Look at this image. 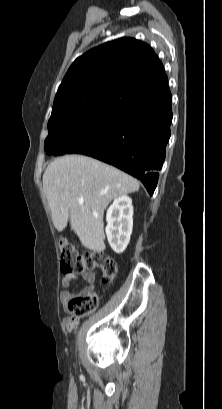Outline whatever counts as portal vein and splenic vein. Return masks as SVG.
Here are the masks:
<instances>
[{
    "mask_svg": "<svg viewBox=\"0 0 222 409\" xmlns=\"http://www.w3.org/2000/svg\"><path fill=\"white\" fill-rule=\"evenodd\" d=\"M77 201H78L79 204H83V203H84V198H83V197H79Z\"/></svg>",
    "mask_w": 222,
    "mask_h": 409,
    "instance_id": "1",
    "label": "portal vein and splenic vein"
}]
</instances>
